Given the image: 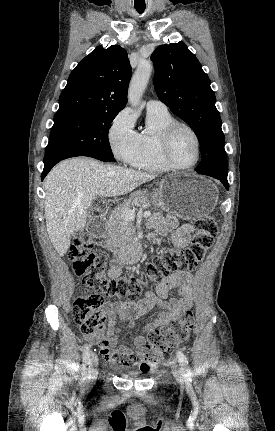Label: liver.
<instances>
[{
	"instance_id": "obj_1",
	"label": "liver",
	"mask_w": 275,
	"mask_h": 431,
	"mask_svg": "<svg viewBox=\"0 0 275 431\" xmlns=\"http://www.w3.org/2000/svg\"><path fill=\"white\" fill-rule=\"evenodd\" d=\"M155 177L84 157L57 164L44 181L46 227L57 253L63 256L71 234L85 228L88 210L100 190L105 196L125 195Z\"/></svg>"
}]
</instances>
